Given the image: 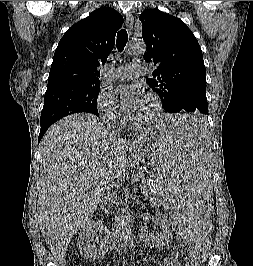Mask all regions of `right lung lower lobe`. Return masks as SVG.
<instances>
[{
  "label": "right lung lower lobe",
  "mask_w": 253,
  "mask_h": 266,
  "mask_svg": "<svg viewBox=\"0 0 253 266\" xmlns=\"http://www.w3.org/2000/svg\"><path fill=\"white\" fill-rule=\"evenodd\" d=\"M49 127H41L38 140L40 141Z\"/></svg>",
  "instance_id": "obj_1"
}]
</instances>
